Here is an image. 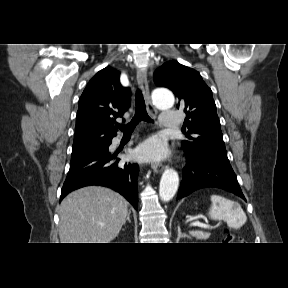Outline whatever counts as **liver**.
<instances>
[{
    "label": "liver",
    "instance_id": "liver-1",
    "mask_svg": "<svg viewBox=\"0 0 288 288\" xmlns=\"http://www.w3.org/2000/svg\"><path fill=\"white\" fill-rule=\"evenodd\" d=\"M128 202L105 187H85L67 195L59 209L61 243H110L125 224Z\"/></svg>",
    "mask_w": 288,
    "mask_h": 288
}]
</instances>
